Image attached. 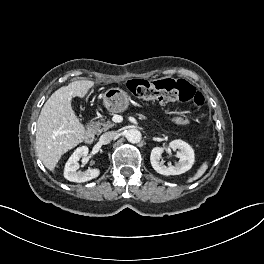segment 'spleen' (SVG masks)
<instances>
[{
	"instance_id": "spleen-1",
	"label": "spleen",
	"mask_w": 264,
	"mask_h": 264,
	"mask_svg": "<svg viewBox=\"0 0 264 264\" xmlns=\"http://www.w3.org/2000/svg\"><path fill=\"white\" fill-rule=\"evenodd\" d=\"M207 169H208V162L205 161L200 166V168L197 170V172L194 174V176L193 177H190L187 182L190 183V182H193V181L199 179L206 172Z\"/></svg>"
}]
</instances>
